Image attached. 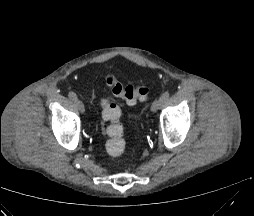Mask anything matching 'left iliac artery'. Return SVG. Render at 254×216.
Wrapping results in <instances>:
<instances>
[{
	"instance_id": "obj_1",
	"label": "left iliac artery",
	"mask_w": 254,
	"mask_h": 216,
	"mask_svg": "<svg viewBox=\"0 0 254 216\" xmlns=\"http://www.w3.org/2000/svg\"><path fill=\"white\" fill-rule=\"evenodd\" d=\"M170 96L169 91H166L162 94V96L160 97V100L162 101V103H164Z\"/></svg>"
}]
</instances>
